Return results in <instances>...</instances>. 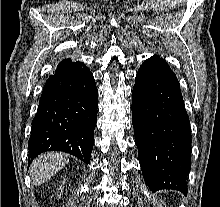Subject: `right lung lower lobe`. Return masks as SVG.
Masks as SVG:
<instances>
[{
    "label": "right lung lower lobe",
    "mask_w": 220,
    "mask_h": 207,
    "mask_svg": "<svg viewBox=\"0 0 220 207\" xmlns=\"http://www.w3.org/2000/svg\"><path fill=\"white\" fill-rule=\"evenodd\" d=\"M97 88L83 62L63 59L49 76L32 121L28 163L45 151L89 163L97 120Z\"/></svg>",
    "instance_id": "right-lung-lower-lobe-1"
}]
</instances>
